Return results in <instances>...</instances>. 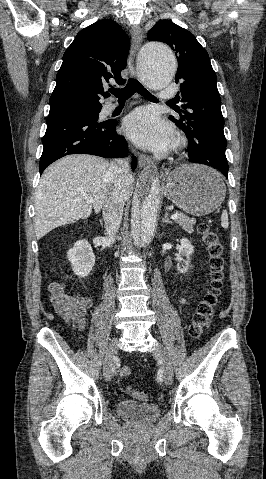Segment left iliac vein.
<instances>
[{
    "label": "left iliac vein",
    "instance_id": "left-iliac-vein-1",
    "mask_svg": "<svg viewBox=\"0 0 266 479\" xmlns=\"http://www.w3.org/2000/svg\"><path fill=\"white\" fill-rule=\"evenodd\" d=\"M152 353L162 361L164 381L166 384L171 385L173 382V368L164 347L157 344Z\"/></svg>",
    "mask_w": 266,
    "mask_h": 479
}]
</instances>
